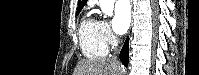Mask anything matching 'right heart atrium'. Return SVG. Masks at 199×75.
<instances>
[{"mask_svg":"<svg viewBox=\"0 0 199 75\" xmlns=\"http://www.w3.org/2000/svg\"><path fill=\"white\" fill-rule=\"evenodd\" d=\"M100 33L103 41L107 45H113L116 41L115 35L112 32L110 24L105 20L99 21Z\"/></svg>","mask_w":199,"mask_h":75,"instance_id":"d8ad5b80","label":"right heart atrium"}]
</instances>
